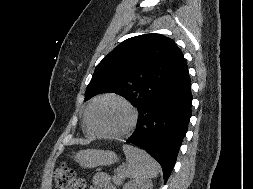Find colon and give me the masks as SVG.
Segmentation results:
<instances>
[{
    "label": "colon",
    "instance_id": "colon-1",
    "mask_svg": "<svg viewBox=\"0 0 253 189\" xmlns=\"http://www.w3.org/2000/svg\"><path fill=\"white\" fill-rule=\"evenodd\" d=\"M58 189H84L85 182L76 176L75 172L67 167H60L55 173Z\"/></svg>",
    "mask_w": 253,
    "mask_h": 189
}]
</instances>
